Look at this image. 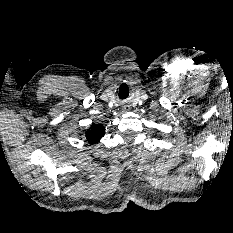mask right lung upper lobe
I'll list each match as a JSON object with an SVG mask.
<instances>
[{"label": "right lung upper lobe", "mask_w": 233, "mask_h": 233, "mask_svg": "<svg viewBox=\"0 0 233 233\" xmlns=\"http://www.w3.org/2000/svg\"><path fill=\"white\" fill-rule=\"evenodd\" d=\"M104 136V127L102 125H93L90 130L86 132V138L90 144L100 141Z\"/></svg>", "instance_id": "obj_1"}]
</instances>
